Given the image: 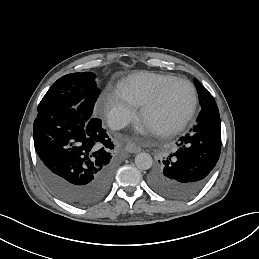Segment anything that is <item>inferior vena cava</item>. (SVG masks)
Returning <instances> with one entry per match:
<instances>
[{
    "label": "inferior vena cava",
    "instance_id": "602c4592",
    "mask_svg": "<svg viewBox=\"0 0 259 259\" xmlns=\"http://www.w3.org/2000/svg\"><path fill=\"white\" fill-rule=\"evenodd\" d=\"M109 126L113 130H120L127 126V118L121 115H114L112 116L109 121Z\"/></svg>",
    "mask_w": 259,
    "mask_h": 259
}]
</instances>
